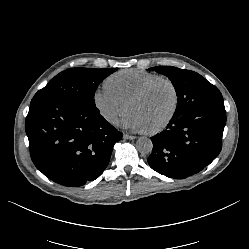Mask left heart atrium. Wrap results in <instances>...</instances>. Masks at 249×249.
<instances>
[{"mask_svg": "<svg viewBox=\"0 0 249 249\" xmlns=\"http://www.w3.org/2000/svg\"><path fill=\"white\" fill-rule=\"evenodd\" d=\"M119 124L126 129H130L136 132H145L147 127L145 126L141 116L133 110H129L119 119Z\"/></svg>", "mask_w": 249, "mask_h": 249, "instance_id": "39dd6f15", "label": "left heart atrium"}]
</instances>
